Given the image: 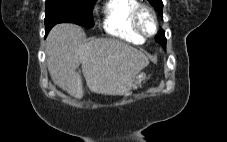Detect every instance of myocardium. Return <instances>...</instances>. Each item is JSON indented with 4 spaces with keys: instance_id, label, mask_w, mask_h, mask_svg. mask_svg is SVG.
<instances>
[{
    "instance_id": "obj_1",
    "label": "myocardium",
    "mask_w": 227,
    "mask_h": 142,
    "mask_svg": "<svg viewBox=\"0 0 227 142\" xmlns=\"http://www.w3.org/2000/svg\"><path fill=\"white\" fill-rule=\"evenodd\" d=\"M148 13L152 19L154 29L151 33H148L143 26L142 16L143 14ZM133 23L137 32L143 37H152L158 31V19L154 9L148 5H139L133 13Z\"/></svg>"
}]
</instances>
